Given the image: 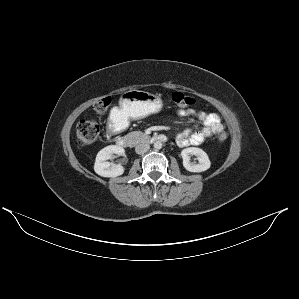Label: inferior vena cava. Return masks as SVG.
<instances>
[{"instance_id":"inferior-vena-cava-1","label":"inferior vena cava","mask_w":299,"mask_h":299,"mask_svg":"<svg viewBox=\"0 0 299 299\" xmlns=\"http://www.w3.org/2000/svg\"><path fill=\"white\" fill-rule=\"evenodd\" d=\"M150 149V145L147 143L138 144L135 148L137 154H144Z\"/></svg>"}]
</instances>
